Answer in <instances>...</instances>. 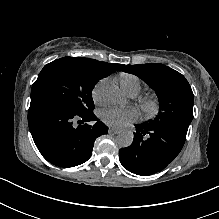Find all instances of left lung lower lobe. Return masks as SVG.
Instances as JSON below:
<instances>
[{
	"label": "left lung lower lobe",
	"mask_w": 219,
	"mask_h": 219,
	"mask_svg": "<svg viewBox=\"0 0 219 219\" xmlns=\"http://www.w3.org/2000/svg\"><path fill=\"white\" fill-rule=\"evenodd\" d=\"M131 146L119 150L122 166L137 175L162 171L180 153L186 134L179 129L160 128L148 123L135 125Z\"/></svg>",
	"instance_id": "left-lung-lower-lobe-1"
}]
</instances>
